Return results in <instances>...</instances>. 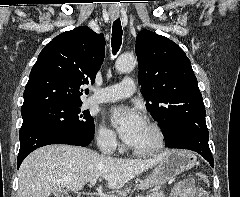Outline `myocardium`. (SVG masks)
<instances>
[{
    "label": "myocardium",
    "instance_id": "obj_1",
    "mask_svg": "<svg viewBox=\"0 0 240 197\" xmlns=\"http://www.w3.org/2000/svg\"><path fill=\"white\" fill-rule=\"evenodd\" d=\"M147 125L152 130L154 135V143L147 147H132L129 149L132 153L139 156L153 155L162 150L165 145V134L162 127L153 120H148Z\"/></svg>",
    "mask_w": 240,
    "mask_h": 197
}]
</instances>
